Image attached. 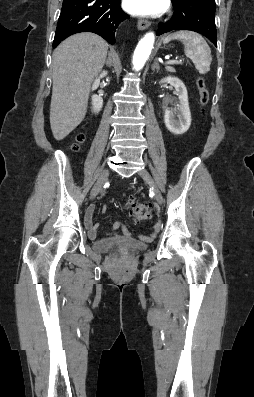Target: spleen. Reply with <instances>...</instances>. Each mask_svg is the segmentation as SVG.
I'll use <instances>...</instances> for the list:
<instances>
[{"label": "spleen", "instance_id": "3e777b00", "mask_svg": "<svg viewBox=\"0 0 254 397\" xmlns=\"http://www.w3.org/2000/svg\"><path fill=\"white\" fill-rule=\"evenodd\" d=\"M175 39L180 40L184 44L185 55L192 60L200 74L210 71L212 61L211 50L201 35L193 31H176L167 35L163 39V43L166 44Z\"/></svg>", "mask_w": 254, "mask_h": 397}]
</instances>
